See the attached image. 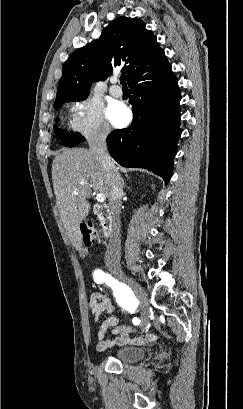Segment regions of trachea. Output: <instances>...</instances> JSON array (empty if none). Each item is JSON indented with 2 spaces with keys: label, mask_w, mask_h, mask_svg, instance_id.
Returning <instances> with one entry per match:
<instances>
[{
  "label": "trachea",
  "mask_w": 243,
  "mask_h": 409,
  "mask_svg": "<svg viewBox=\"0 0 243 409\" xmlns=\"http://www.w3.org/2000/svg\"><path fill=\"white\" fill-rule=\"evenodd\" d=\"M120 82H121L123 87H126V77H125V75H122L120 77Z\"/></svg>",
  "instance_id": "1"
}]
</instances>
